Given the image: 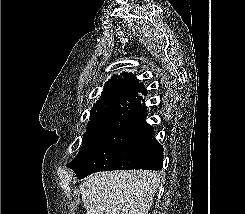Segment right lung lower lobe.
Listing matches in <instances>:
<instances>
[{
  "label": "right lung lower lobe",
  "instance_id": "obj_1",
  "mask_svg": "<svg viewBox=\"0 0 245 214\" xmlns=\"http://www.w3.org/2000/svg\"><path fill=\"white\" fill-rule=\"evenodd\" d=\"M140 112V120L132 128L126 129L128 137L117 147L120 162L113 170L162 169L163 146L154 137L153 127L145 121L146 106L141 105Z\"/></svg>",
  "mask_w": 245,
  "mask_h": 214
}]
</instances>
